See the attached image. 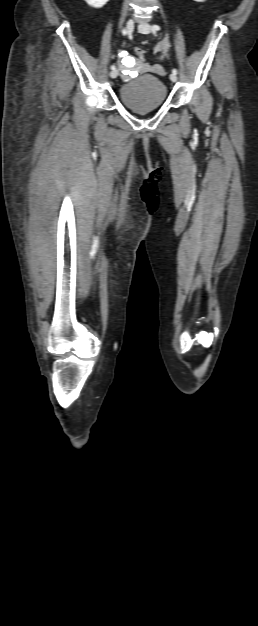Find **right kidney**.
<instances>
[{
  "instance_id": "obj_1",
  "label": "right kidney",
  "mask_w": 258,
  "mask_h": 626,
  "mask_svg": "<svg viewBox=\"0 0 258 626\" xmlns=\"http://www.w3.org/2000/svg\"><path fill=\"white\" fill-rule=\"evenodd\" d=\"M87 4L93 8L103 7L109 0H85Z\"/></svg>"
}]
</instances>
